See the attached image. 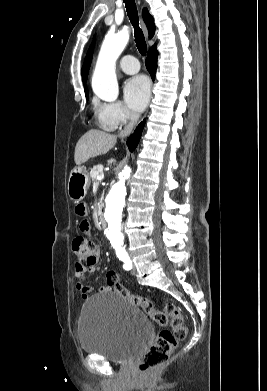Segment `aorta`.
Wrapping results in <instances>:
<instances>
[{
	"mask_svg": "<svg viewBox=\"0 0 267 391\" xmlns=\"http://www.w3.org/2000/svg\"><path fill=\"white\" fill-rule=\"evenodd\" d=\"M129 41V28L123 27L114 34H107L102 43L92 78V88L96 96L113 102L119 94L115 74V63ZM130 168L118 174V181L111 187L106 197L105 220L107 234L117 252L123 251V233L121 228L122 210L125 203L126 180L130 176Z\"/></svg>",
	"mask_w": 267,
	"mask_h": 391,
	"instance_id": "aorta-1",
	"label": "aorta"
}]
</instances>
